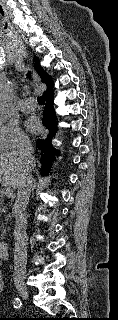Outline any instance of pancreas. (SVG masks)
<instances>
[{"label":"pancreas","instance_id":"cf45deb5","mask_svg":"<svg viewBox=\"0 0 118 320\" xmlns=\"http://www.w3.org/2000/svg\"><path fill=\"white\" fill-rule=\"evenodd\" d=\"M3 204H4L3 197L0 196V212H6L5 211V207L4 208L1 207V206H3ZM9 218H10V215H7L6 218H5L6 221H8ZM0 231H2L1 237L3 238L5 236V234H6V229H4V224L3 223H0Z\"/></svg>","mask_w":118,"mask_h":320}]
</instances>
